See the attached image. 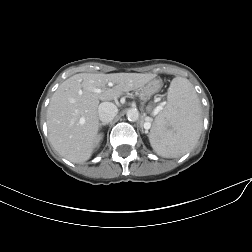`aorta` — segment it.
<instances>
[{"mask_svg": "<svg viewBox=\"0 0 252 252\" xmlns=\"http://www.w3.org/2000/svg\"><path fill=\"white\" fill-rule=\"evenodd\" d=\"M126 116L129 121L134 122V121L138 120L139 112L136 108H130V109H128Z\"/></svg>", "mask_w": 252, "mask_h": 252, "instance_id": "1", "label": "aorta"}]
</instances>
